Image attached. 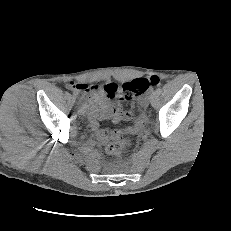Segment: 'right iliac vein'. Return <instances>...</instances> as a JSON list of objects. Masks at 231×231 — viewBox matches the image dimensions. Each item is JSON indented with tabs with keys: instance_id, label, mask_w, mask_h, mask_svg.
Listing matches in <instances>:
<instances>
[{
	"instance_id": "63e3f726",
	"label": "right iliac vein",
	"mask_w": 231,
	"mask_h": 231,
	"mask_svg": "<svg viewBox=\"0 0 231 231\" xmlns=\"http://www.w3.org/2000/svg\"><path fill=\"white\" fill-rule=\"evenodd\" d=\"M77 105H78V112L79 113L83 114L86 112V104L82 99H78Z\"/></svg>"
}]
</instances>
